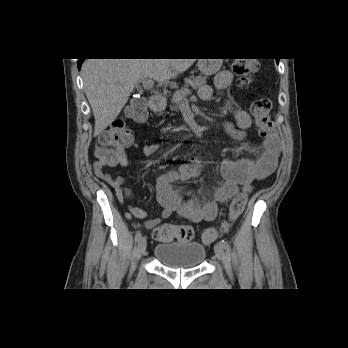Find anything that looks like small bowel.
Returning <instances> with one entry per match:
<instances>
[{"label":"small bowel","instance_id":"obj_1","mask_svg":"<svg viewBox=\"0 0 348 348\" xmlns=\"http://www.w3.org/2000/svg\"><path fill=\"white\" fill-rule=\"evenodd\" d=\"M234 75L225 70L220 72L215 79V86L219 92L224 108L234 118V122H225L224 131L237 141H247V130L251 126L249 114L236 106L225 95V90L232 84ZM199 97L203 101H209L213 97L210 86L204 85L199 89ZM158 150V144L150 143L143 147L145 155H153ZM280 154V140L276 134L270 135L264 141L263 150L257 161H224L221 165V173L224 181L211 192V197L203 202L195 198H184L174 187L176 182L187 184L197 181L202 173V164L199 160H191L181 164L177 168L167 171L159 176L154 184L156 199L161 206V214L153 219H145V210L127 205L125 216L128 220L137 218L144 220L138 226L145 230H152L172 214L193 223L212 221L216 218L218 207L225 205L239 191H249L254 181L262 180L270 176L278 165ZM128 167L130 161L122 152L121 158L115 164L96 162L93 165V173L96 177L109 184L115 191L120 203H124L130 197V191L124 186L126 179L122 176L113 177L106 171V166ZM187 193L189 191H186Z\"/></svg>","mask_w":348,"mask_h":348}]
</instances>
